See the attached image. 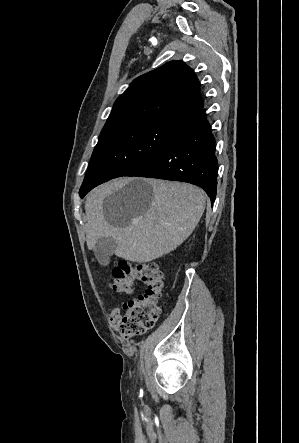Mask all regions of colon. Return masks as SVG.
I'll return each mask as SVG.
<instances>
[{
	"label": "colon",
	"instance_id": "1",
	"mask_svg": "<svg viewBox=\"0 0 299 443\" xmlns=\"http://www.w3.org/2000/svg\"><path fill=\"white\" fill-rule=\"evenodd\" d=\"M140 281L146 285L143 294L123 306L120 330L124 338L140 335L152 328L161 314L159 301L164 291V276L155 262L133 264L120 261L111 272V286L119 294H131Z\"/></svg>",
	"mask_w": 299,
	"mask_h": 443
}]
</instances>
